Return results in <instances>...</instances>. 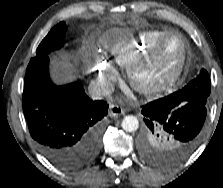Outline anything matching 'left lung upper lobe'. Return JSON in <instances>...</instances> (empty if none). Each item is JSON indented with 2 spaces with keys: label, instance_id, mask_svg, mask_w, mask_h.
I'll use <instances>...</instances> for the list:
<instances>
[{
  "label": "left lung upper lobe",
  "instance_id": "obj_1",
  "mask_svg": "<svg viewBox=\"0 0 223 188\" xmlns=\"http://www.w3.org/2000/svg\"><path fill=\"white\" fill-rule=\"evenodd\" d=\"M211 90V82L208 72L202 69L199 75L181 90L168 96L170 100L180 104L195 103L200 106L207 105V99ZM177 144L169 134L161 131L143 129L140 136V152L142 157L156 165H171L179 160Z\"/></svg>",
  "mask_w": 223,
  "mask_h": 188
}]
</instances>
